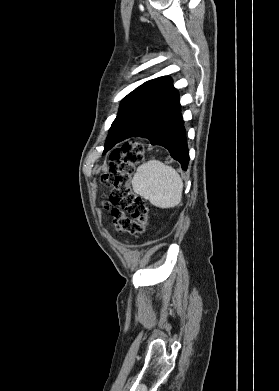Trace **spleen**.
Wrapping results in <instances>:
<instances>
[{"label":"spleen","mask_w":279,"mask_h":391,"mask_svg":"<svg viewBox=\"0 0 279 391\" xmlns=\"http://www.w3.org/2000/svg\"><path fill=\"white\" fill-rule=\"evenodd\" d=\"M136 194L159 208H173L182 199L183 182L178 172L158 160H149L137 168L132 179Z\"/></svg>","instance_id":"1"}]
</instances>
